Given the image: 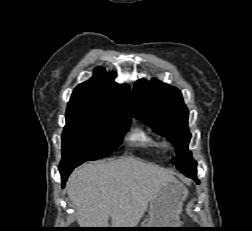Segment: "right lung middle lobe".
I'll use <instances>...</instances> for the list:
<instances>
[{
	"mask_svg": "<svg viewBox=\"0 0 252 231\" xmlns=\"http://www.w3.org/2000/svg\"><path fill=\"white\" fill-rule=\"evenodd\" d=\"M130 117L71 110L66 112L59 170L111 154L122 142Z\"/></svg>",
	"mask_w": 252,
	"mask_h": 231,
	"instance_id": "dd1d6c3e",
	"label": "right lung middle lobe"
}]
</instances>
